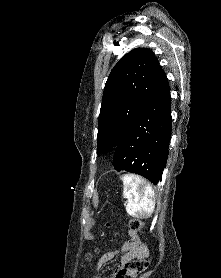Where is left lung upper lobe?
<instances>
[{
	"mask_svg": "<svg viewBox=\"0 0 221 278\" xmlns=\"http://www.w3.org/2000/svg\"><path fill=\"white\" fill-rule=\"evenodd\" d=\"M164 71L153 52L135 48L112 69L98 122L97 153L115 150L156 91Z\"/></svg>",
	"mask_w": 221,
	"mask_h": 278,
	"instance_id": "left-lung-upper-lobe-1",
	"label": "left lung upper lobe"
}]
</instances>
